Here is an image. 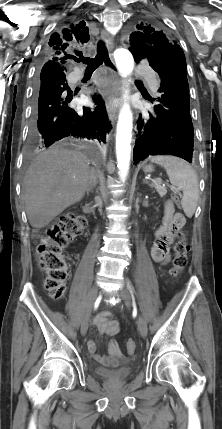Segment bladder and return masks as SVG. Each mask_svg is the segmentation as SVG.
I'll list each match as a JSON object with an SVG mask.
<instances>
[{
	"instance_id": "obj_1",
	"label": "bladder",
	"mask_w": 222,
	"mask_h": 429,
	"mask_svg": "<svg viewBox=\"0 0 222 429\" xmlns=\"http://www.w3.org/2000/svg\"><path fill=\"white\" fill-rule=\"evenodd\" d=\"M133 372V365L126 367H119L116 369H108L103 367H95L94 373L99 378L111 381L121 382L128 379Z\"/></svg>"
}]
</instances>
